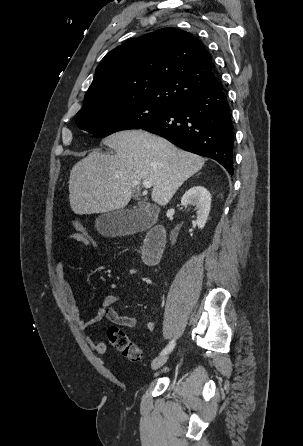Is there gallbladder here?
<instances>
[{
    "label": "gallbladder",
    "instance_id": "bac80fb5",
    "mask_svg": "<svg viewBox=\"0 0 303 446\" xmlns=\"http://www.w3.org/2000/svg\"><path fill=\"white\" fill-rule=\"evenodd\" d=\"M151 222V218L138 208L121 209L100 216L95 222V227L103 235L115 236L144 228Z\"/></svg>",
    "mask_w": 303,
    "mask_h": 446
}]
</instances>
